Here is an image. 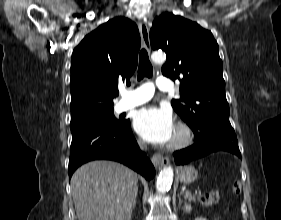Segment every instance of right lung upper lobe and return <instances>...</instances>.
Segmentation results:
<instances>
[{
  "instance_id": "cb5924a9",
  "label": "right lung upper lobe",
  "mask_w": 281,
  "mask_h": 220,
  "mask_svg": "<svg viewBox=\"0 0 281 220\" xmlns=\"http://www.w3.org/2000/svg\"><path fill=\"white\" fill-rule=\"evenodd\" d=\"M140 35L137 25L116 17L88 34L71 60V119L113 109L118 83L137 66Z\"/></svg>"
}]
</instances>
